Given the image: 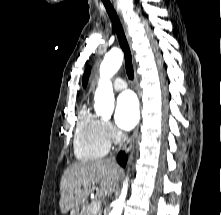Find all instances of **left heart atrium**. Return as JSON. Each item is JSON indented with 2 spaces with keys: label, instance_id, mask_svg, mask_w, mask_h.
<instances>
[{
  "label": "left heart atrium",
  "instance_id": "left-heart-atrium-1",
  "mask_svg": "<svg viewBox=\"0 0 221 215\" xmlns=\"http://www.w3.org/2000/svg\"><path fill=\"white\" fill-rule=\"evenodd\" d=\"M139 119V105L131 92H124L116 103L115 122L122 130L132 129Z\"/></svg>",
  "mask_w": 221,
  "mask_h": 215
}]
</instances>
